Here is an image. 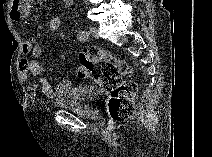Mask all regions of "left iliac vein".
Returning a JSON list of instances; mask_svg holds the SVG:
<instances>
[{
	"label": "left iliac vein",
	"mask_w": 212,
	"mask_h": 157,
	"mask_svg": "<svg viewBox=\"0 0 212 157\" xmlns=\"http://www.w3.org/2000/svg\"><path fill=\"white\" fill-rule=\"evenodd\" d=\"M89 33H90L94 38H98V37H99L96 27H91L90 30H89Z\"/></svg>",
	"instance_id": "left-iliac-vein-1"
}]
</instances>
